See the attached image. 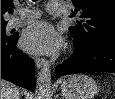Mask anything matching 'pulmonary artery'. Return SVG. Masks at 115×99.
Listing matches in <instances>:
<instances>
[{"instance_id":"obj_1","label":"pulmonary artery","mask_w":115,"mask_h":99,"mask_svg":"<svg viewBox=\"0 0 115 99\" xmlns=\"http://www.w3.org/2000/svg\"><path fill=\"white\" fill-rule=\"evenodd\" d=\"M47 11L50 14L60 15L64 12V5L61 1H50L47 6ZM40 16L38 11H25L22 15L14 17L9 20L8 26L10 28L20 26L22 24L31 22Z\"/></svg>"}]
</instances>
